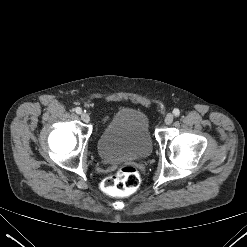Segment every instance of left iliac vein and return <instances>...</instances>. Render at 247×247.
<instances>
[{"mask_svg":"<svg viewBox=\"0 0 247 247\" xmlns=\"http://www.w3.org/2000/svg\"><path fill=\"white\" fill-rule=\"evenodd\" d=\"M173 119H174V116L173 114L171 113H168L166 116H165V123L167 125L171 124L173 122Z\"/></svg>","mask_w":247,"mask_h":247,"instance_id":"1","label":"left iliac vein"}]
</instances>
